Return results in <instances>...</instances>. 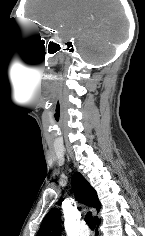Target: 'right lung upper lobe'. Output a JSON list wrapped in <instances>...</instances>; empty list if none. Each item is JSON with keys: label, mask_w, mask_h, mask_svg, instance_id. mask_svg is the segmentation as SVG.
<instances>
[{"label": "right lung upper lobe", "mask_w": 145, "mask_h": 236, "mask_svg": "<svg viewBox=\"0 0 145 236\" xmlns=\"http://www.w3.org/2000/svg\"><path fill=\"white\" fill-rule=\"evenodd\" d=\"M72 188L74 191V195L79 202H82L89 207H93L99 212L101 204L98 200L97 193L79 172L73 175ZM95 219H97V217H95ZM60 223V210H50L43 219L37 236H60Z\"/></svg>", "instance_id": "right-lung-upper-lobe-1"}]
</instances>
